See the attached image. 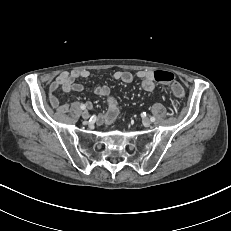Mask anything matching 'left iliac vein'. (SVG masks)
Here are the masks:
<instances>
[{"instance_id": "obj_1", "label": "left iliac vein", "mask_w": 231, "mask_h": 231, "mask_svg": "<svg viewBox=\"0 0 231 231\" xmlns=\"http://www.w3.org/2000/svg\"><path fill=\"white\" fill-rule=\"evenodd\" d=\"M142 122L145 127H148L151 124V121L148 118H144Z\"/></svg>"}]
</instances>
